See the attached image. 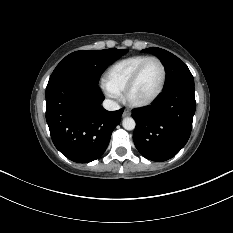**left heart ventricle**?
Returning a JSON list of instances; mask_svg holds the SVG:
<instances>
[{"label": "left heart ventricle", "instance_id": "left-heart-ventricle-1", "mask_svg": "<svg viewBox=\"0 0 233 233\" xmlns=\"http://www.w3.org/2000/svg\"><path fill=\"white\" fill-rule=\"evenodd\" d=\"M161 80L162 69L159 63L156 61L148 62L130 92V99L136 102L149 99L160 87Z\"/></svg>", "mask_w": 233, "mask_h": 233}]
</instances>
